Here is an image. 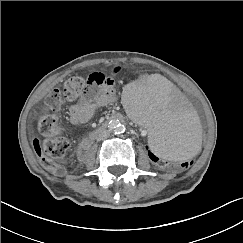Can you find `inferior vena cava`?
Here are the masks:
<instances>
[{"mask_svg":"<svg viewBox=\"0 0 243 243\" xmlns=\"http://www.w3.org/2000/svg\"><path fill=\"white\" fill-rule=\"evenodd\" d=\"M108 136H109V131L104 130V131H101L99 134H97L96 140L101 141V140L107 138Z\"/></svg>","mask_w":243,"mask_h":243,"instance_id":"inferior-vena-cava-1","label":"inferior vena cava"}]
</instances>
